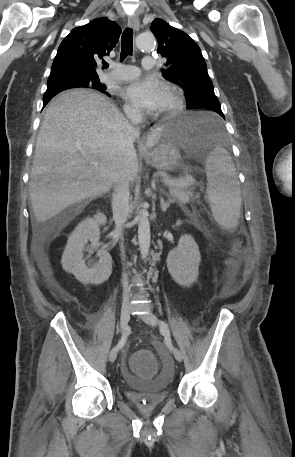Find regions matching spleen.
Here are the masks:
<instances>
[{
    "label": "spleen",
    "mask_w": 295,
    "mask_h": 457,
    "mask_svg": "<svg viewBox=\"0 0 295 457\" xmlns=\"http://www.w3.org/2000/svg\"><path fill=\"white\" fill-rule=\"evenodd\" d=\"M207 175L206 199L214 220L224 229L238 224L241 209V192L236 170L228 152L215 147L205 161Z\"/></svg>",
    "instance_id": "1"
}]
</instances>
